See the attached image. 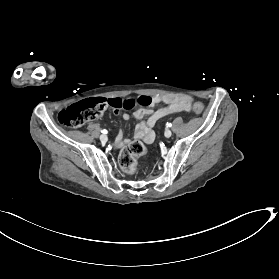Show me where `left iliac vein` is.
<instances>
[{"mask_svg": "<svg viewBox=\"0 0 279 279\" xmlns=\"http://www.w3.org/2000/svg\"><path fill=\"white\" fill-rule=\"evenodd\" d=\"M164 135H165V137H167V138L171 137V135H172L171 130L166 129L165 132H164Z\"/></svg>", "mask_w": 279, "mask_h": 279, "instance_id": "left-iliac-vein-1", "label": "left iliac vein"}]
</instances>
